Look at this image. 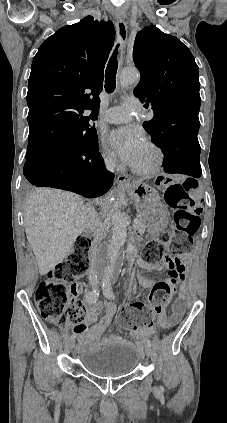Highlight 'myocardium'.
<instances>
[{"label":"myocardium","instance_id":"f54148a6","mask_svg":"<svg viewBox=\"0 0 227 423\" xmlns=\"http://www.w3.org/2000/svg\"><path fill=\"white\" fill-rule=\"evenodd\" d=\"M146 145L154 150L155 161L147 168L133 166L132 170L139 175H154L162 171L166 162V153L163 147L153 140L146 141Z\"/></svg>","mask_w":227,"mask_h":423}]
</instances>
